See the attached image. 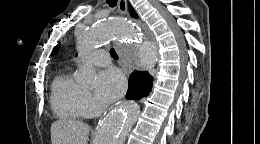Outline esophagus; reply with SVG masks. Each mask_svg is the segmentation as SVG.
<instances>
[{
	"label": "esophagus",
	"instance_id": "obj_1",
	"mask_svg": "<svg viewBox=\"0 0 260 144\" xmlns=\"http://www.w3.org/2000/svg\"><path fill=\"white\" fill-rule=\"evenodd\" d=\"M118 11L121 16L128 14V5L126 0H118ZM121 66L125 74L130 73V66L121 61Z\"/></svg>",
	"mask_w": 260,
	"mask_h": 144
}]
</instances>
